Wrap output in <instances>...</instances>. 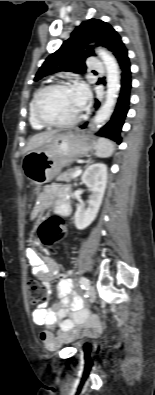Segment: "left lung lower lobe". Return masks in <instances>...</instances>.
Listing matches in <instances>:
<instances>
[{"mask_svg":"<svg viewBox=\"0 0 155 395\" xmlns=\"http://www.w3.org/2000/svg\"><path fill=\"white\" fill-rule=\"evenodd\" d=\"M120 72H121V89L116 104L114 113L110 121L105 124L98 132V136L107 137L114 140L118 144L121 143L120 132L124 124L125 117L129 110L130 95H131V70H130V60L128 55L122 58L119 62ZM95 107H99V101L95 100ZM87 123L81 126V128H86Z\"/></svg>","mask_w":155,"mask_h":395,"instance_id":"1","label":"left lung lower lobe"}]
</instances>
